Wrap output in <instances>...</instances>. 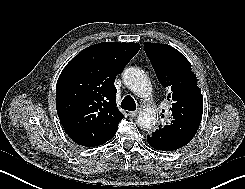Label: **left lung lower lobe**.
Returning <instances> with one entry per match:
<instances>
[{
	"instance_id": "0a47b994",
	"label": "left lung lower lobe",
	"mask_w": 245,
	"mask_h": 189,
	"mask_svg": "<svg viewBox=\"0 0 245 189\" xmlns=\"http://www.w3.org/2000/svg\"><path fill=\"white\" fill-rule=\"evenodd\" d=\"M147 141H148L149 145L151 147H153L154 149H158V150H162V151H168L164 147L159 146L157 144V142H155L154 140H152V138L147 137Z\"/></svg>"
}]
</instances>
